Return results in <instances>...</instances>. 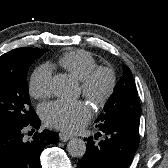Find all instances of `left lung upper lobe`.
<instances>
[{
	"mask_svg": "<svg viewBox=\"0 0 168 168\" xmlns=\"http://www.w3.org/2000/svg\"><path fill=\"white\" fill-rule=\"evenodd\" d=\"M123 71V76L118 81L113 95L109 98L104 106V112L97 118L96 122L118 115L140 118V100L133 75L126 65H123Z\"/></svg>",
	"mask_w": 168,
	"mask_h": 168,
	"instance_id": "obj_1",
	"label": "left lung upper lobe"
}]
</instances>
